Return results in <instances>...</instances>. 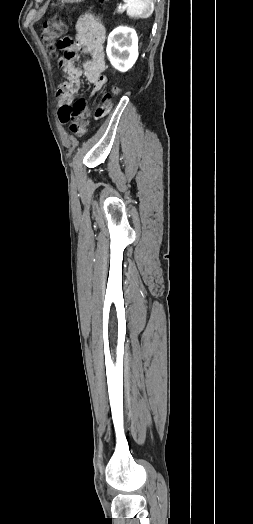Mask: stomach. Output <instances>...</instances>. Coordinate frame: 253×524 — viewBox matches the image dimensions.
Masks as SVG:
<instances>
[{"label": "stomach", "mask_w": 253, "mask_h": 524, "mask_svg": "<svg viewBox=\"0 0 253 524\" xmlns=\"http://www.w3.org/2000/svg\"><path fill=\"white\" fill-rule=\"evenodd\" d=\"M83 0H61L62 3H78V2H81Z\"/></svg>", "instance_id": "0dacf381"}]
</instances>
